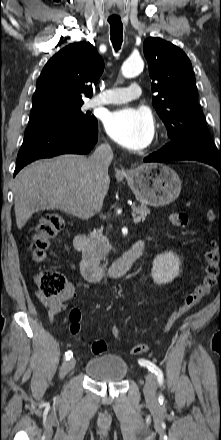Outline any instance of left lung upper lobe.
<instances>
[{"instance_id": "5c2ea615", "label": "left lung upper lobe", "mask_w": 221, "mask_h": 440, "mask_svg": "<svg viewBox=\"0 0 221 440\" xmlns=\"http://www.w3.org/2000/svg\"><path fill=\"white\" fill-rule=\"evenodd\" d=\"M143 48L152 91L159 93L152 103L172 140L166 149L178 155L221 159V149L213 143L197 102L195 75L187 55L161 38L146 39Z\"/></svg>"}]
</instances>
